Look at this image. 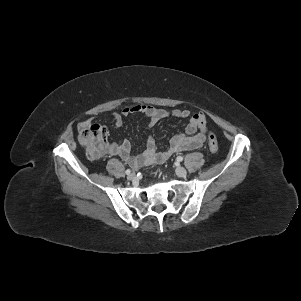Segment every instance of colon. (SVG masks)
<instances>
[{
    "label": "colon",
    "instance_id": "obj_1",
    "mask_svg": "<svg viewBox=\"0 0 301 301\" xmlns=\"http://www.w3.org/2000/svg\"><path fill=\"white\" fill-rule=\"evenodd\" d=\"M209 149L212 153L218 151V141L215 134L206 129ZM79 139L85 147L87 156L90 160L100 159L107 148V128L104 125L89 122L79 130Z\"/></svg>",
    "mask_w": 301,
    "mask_h": 301
}]
</instances>
